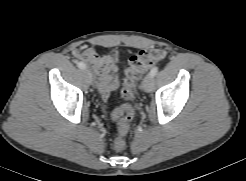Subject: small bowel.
I'll list each match as a JSON object with an SVG mask.
<instances>
[{
	"label": "small bowel",
	"mask_w": 246,
	"mask_h": 181,
	"mask_svg": "<svg viewBox=\"0 0 246 181\" xmlns=\"http://www.w3.org/2000/svg\"><path fill=\"white\" fill-rule=\"evenodd\" d=\"M74 56L86 63H89L97 75L96 85L101 95L106 98L115 87L118 68L116 65V55L100 54L89 47L84 51H75Z\"/></svg>",
	"instance_id": "small-bowel-1"
}]
</instances>
